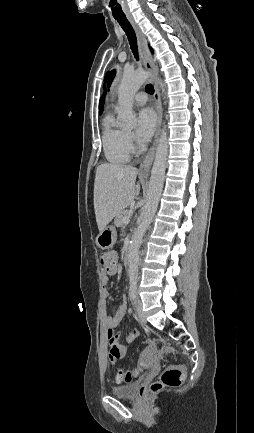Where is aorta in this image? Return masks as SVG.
<instances>
[{"instance_id":"aorta-1","label":"aorta","mask_w":254,"mask_h":433,"mask_svg":"<svg viewBox=\"0 0 254 433\" xmlns=\"http://www.w3.org/2000/svg\"><path fill=\"white\" fill-rule=\"evenodd\" d=\"M150 74L143 70L125 72L118 88V117L126 126L136 123V115L133 112V97L136 91L146 82ZM162 92H165L164 84L158 80ZM168 155V136L164 126L156 149L155 160L151 170L149 182L148 200L145 212L138 228L136 229L128 255V274L130 281H135L138 276L139 247L147 228L149 227L158 207L163 189L166 161Z\"/></svg>"}]
</instances>
